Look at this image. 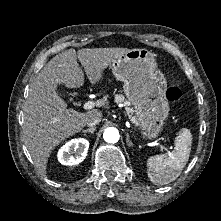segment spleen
I'll list each match as a JSON object with an SVG mask.
<instances>
[{
    "instance_id": "3e777b00",
    "label": "spleen",
    "mask_w": 221,
    "mask_h": 221,
    "mask_svg": "<svg viewBox=\"0 0 221 221\" xmlns=\"http://www.w3.org/2000/svg\"><path fill=\"white\" fill-rule=\"evenodd\" d=\"M174 142V150L169 154L148 158L147 174L155 185H165L176 180L189 160L192 144L190 130L182 128Z\"/></svg>"
}]
</instances>
